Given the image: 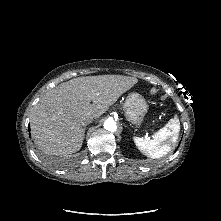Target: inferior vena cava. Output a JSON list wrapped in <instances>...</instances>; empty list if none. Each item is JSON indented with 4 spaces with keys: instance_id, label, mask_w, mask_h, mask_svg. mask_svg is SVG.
I'll return each mask as SVG.
<instances>
[{
    "instance_id": "602c4592",
    "label": "inferior vena cava",
    "mask_w": 221,
    "mask_h": 221,
    "mask_svg": "<svg viewBox=\"0 0 221 221\" xmlns=\"http://www.w3.org/2000/svg\"><path fill=\"white\" fill-rule=\"evenodd\" d=\"M93 121V117L92 116H86L82 119L81 123L82 125H88Z\"/></svg>"
}]
</instances>
